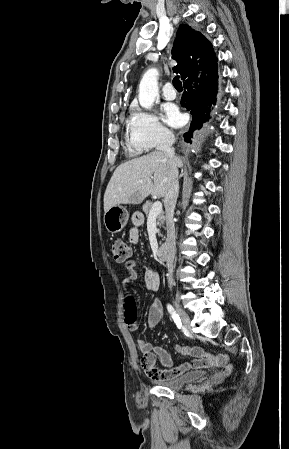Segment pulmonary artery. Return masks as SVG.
I'll list each match as a JSON object with an SVG mask.
<instances>
[{"label":"pulmonary artery","instance_id":"1","mask_svg":"<svg viewBox=\"0 0 289 449\" xmlns=\"http://www.w3.org/2000/svg\"><path fill=\"white\" fill-rule=\"evenodd\" d=\"M163 96L166 100H173L176 98V91L170 82L165 84L163 88Z\"/></svg>","mask_w":289,"mask_h":449}]
</instances>
